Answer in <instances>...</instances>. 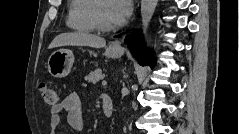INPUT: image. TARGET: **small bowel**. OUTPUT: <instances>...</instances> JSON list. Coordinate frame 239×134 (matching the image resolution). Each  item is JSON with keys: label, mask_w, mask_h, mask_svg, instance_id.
Here are the masks:
<instances>
[{"label": "small bowel", "mask_w": 239, "mask_h": 134, "mask_svg": "<svg viewBox=\"0 0 239 134\" xmlns=\"http://www.w3.org/2000/svg\"><path fill=\"white\" fill-rule=\"evenodd\" d=\"M67 115L70 127L82 132L85 126L84 110L80 96L76 92L67 95L60 103L51 107L50 110V133L54 134L55 129L61 122V115Z\"/></svg>", "instance_id": "small-bowel-1"}]
</instances>
